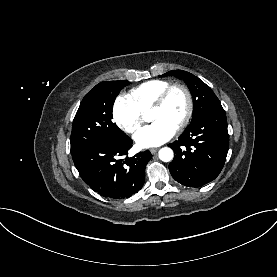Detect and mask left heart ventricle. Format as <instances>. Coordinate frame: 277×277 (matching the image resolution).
I'll return each instance as SVG.
<instances>
[{"mask_svg": "<svg viewBox=\"0 0 277 277\" xmlns=\"http://www.w3.org/2000/svg\"><path fill=\"white\" fill-rule=\"evenodd\" d=\"M187 110V99L183 91L174 90L165 105L157 110L150 111V119L152 121L164 120L175 127L183 119Z\"/></svg>", "mask_w": 277, "mask_h": 277, "instance_id": "left-heart-ventricle-1", "label": "left heart ventricle"}]
</instances>
